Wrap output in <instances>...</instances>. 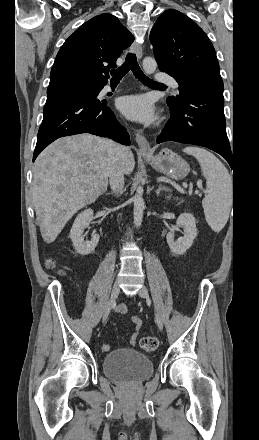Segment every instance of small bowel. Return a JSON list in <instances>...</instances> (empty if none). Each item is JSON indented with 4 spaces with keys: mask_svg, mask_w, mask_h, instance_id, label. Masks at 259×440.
Masks as SVG:
<instances>
[{
    "mask_svg": "<svg viewBox=\"0 0 259 440\" xmlns=\"http://www.w3.org/2000/svg\"><path fill=\"white\" fill-rule=\"evenodd\" d=\"M126 311H127V309H126V307H125L124 305H120V306L118 307V310H117V312H118L120 315H124V314L126 313ZM131 323H132V324L134 325V327H135V333L132 335V337H131V339H130V343H131V345H134V344H135V339H136L137 333H138L139 329L141 328L142 321H141V319H140L139 316L134 315L133 317H131ZM109 348H110V347H109L108 344H103V345H102V349H103L104 351H108Z\"/></svg>",
    "mask_w": 259,
    "mask_h": 440,
    "instance_id": "obj_1",
    "label": "small bowel"
}]
</instances>
